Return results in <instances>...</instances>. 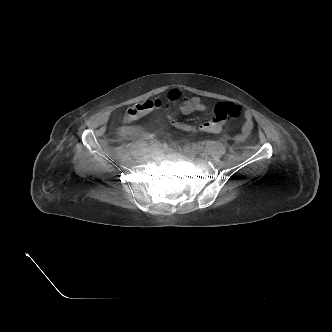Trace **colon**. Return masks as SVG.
I'll list each match as a JSON object with an SVG mask.
<instances>
[{
  "label": "colon",
  "mask_w": 332,
  "mask_h": 332,
  "mask_svg": "<svg viewBox=\"0 0 332 332\" xmlns=\"http://www.w3.org/2000/svg\"><path fill=\"white\" fill-rule=\"evenodd\" d=\"M161 108H168V104L160 99H150L130 106L124 114V120L127 122L133 121L143 115L149 114ZM242 109L240 106L229 102L218 103L213 110L211 118L202 122L198 126L188 124L171 113L167 114L169 123L176 129L183 132H206L217 133L219 132L228 119H235L240 117Z\"/></svg>",
  "instance_id": "obj_1"
}]
</instances>
